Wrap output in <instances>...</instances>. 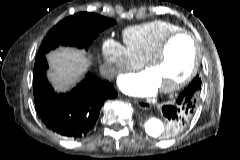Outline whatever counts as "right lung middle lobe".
<instances>
[{"instance_id": "right-lung-middle-lobe-1", "label": "right lung middle lobe", "mask_w": 240, "mask_h": 160, "mask_svg": "<svg viewBox=\"0 0 240 160\" xmlns=\"http://www.w3.org/2000/svg\"><path fill=\"white\" fill-rule=\"evenodd\" d=\"M115 23L94 13H77L56 24L43 39L37 58L60 46L88 48L97 35Z\"/></svg>"}]
</instances>
